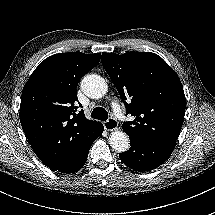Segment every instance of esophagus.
<instances>
[{
	"mask_svg": "<svg viewBox=\"0 0 215 215\" xmlns=\"http://www.w3.org/2000/svg\"><path fill=\"white\" fill-rule=\"evenodd\" d=\"M103 125L105 130L115 131L118 128V121L113 117H109L106 121L103 122Z\"/></svg>",
	"mask_w": 215,
	"mask_h": 215,
	"instance_id": "obj_1",
	"label": "esophagus"
}]
</instances>
